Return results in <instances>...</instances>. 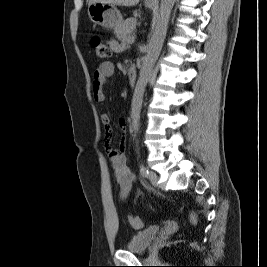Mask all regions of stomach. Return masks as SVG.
<instances>
[{
    "mask_svg": "<svg viewBox=\"0 0 267 267\" xmlns=\"http://www.w3.org/2000/svg\"><path fill=\"white\" fill-rule=\"evenodd\" d=\"M154 5L153 2H146L148 8H153ZM88 15L94 24L106 29H116L123 23V17L115 5L93 3L88 6Z\"/></svg>",
    "mask_w": 267,
    "mask_h": 267,
    "instance_id": "stomach-1",
    "label": "stomach"
}]
</instances>
